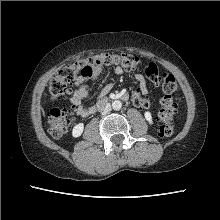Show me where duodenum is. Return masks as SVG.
Instances as JSON below:
<instances>
[{
  "label": "duodenum",
  "mask_w": 220,
  "mask_h": 220,
  "mask_svg": "<svg viewBox=\"0 0 220 220\" xmlns=\"http://www.w3.org/2000/svg\"><path fill=\"white\" fill-rule=\"evenodd\" d=\"M115 99H120L123 101L128 100V95L126 93L118 94ZM109 103V99L107 97H102L99 102L97 103L96 109H102Z\"/></svg>",
  "instance_id": "1"
}]
</instances>
